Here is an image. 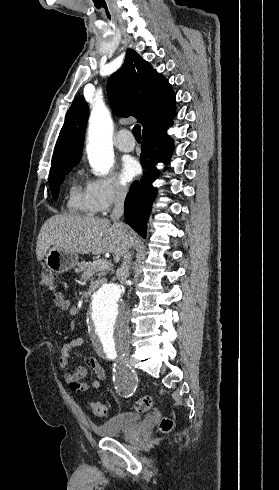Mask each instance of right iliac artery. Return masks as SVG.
Here are the masks:
<instances>
[{
    "mask_svg": "<svg viewBox=\"0 0 279 490\" xmlns=\"http://www.w3.org/2000/svg\"><path fill=\"white\" fill-rule=\"evenodd\" d=\"M108 358H109L111 361H114V360L117 358V355H116L114 352H111V353L108 355Z\"/></svg>",
    "mask_w": 279,
    "mask_h": 490,
    "instance_id": "1",
    "label": "right iliac artery"
}]
</instances>
